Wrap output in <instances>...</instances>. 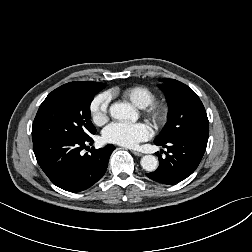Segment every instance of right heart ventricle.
Here are the masks:
<instances>
[{"label":"right heart ventricle","instance_id":"e07e8e85","mask_svg":"<svg viewBox=\"0 0 252 252\" xmlns=\"http://www.w3.org/2000/svg\"><path fill=\"white\" fill-rule=\"evenodd\" d=\"M115 92H111L113 94ZM121 95L138 108H146L151 105L156 98L155 93L146 86H132L122 90Z\"/></svg>","mask_w":252,"mask_h":252}]
</instances>
